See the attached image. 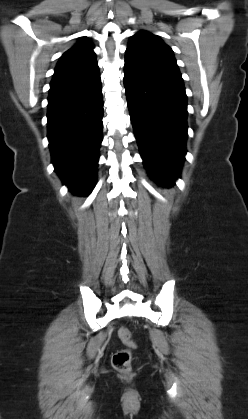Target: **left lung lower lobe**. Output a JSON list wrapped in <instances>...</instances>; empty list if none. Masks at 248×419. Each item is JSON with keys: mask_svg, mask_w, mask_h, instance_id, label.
Masks as SVG:
<instances>
[{"mask_svg": "<svg viewBox=\"0 0 248 419\" xmlns=\"http://www.w3.org/2000/svg\"><path fill=\"white\" fill-rule=\"evenodd\" d=\"M124 86L131 123L150 176L171 185L187 138V96L179 69L126 51Z\"/></svg>", "mask_w": 248, "mask_h": 419, "instance_id": "1", "label": "left lung lower lobe"}]
</instances>
